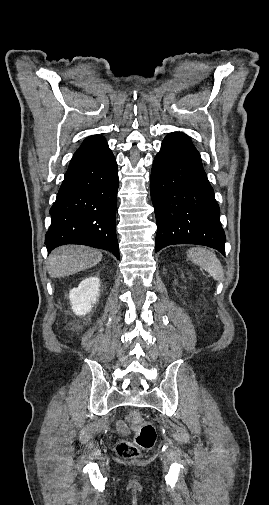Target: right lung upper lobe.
I'll return each instance as SVG.
<instances>
[{
    "label": "right lung upper lobe",
    "instance_id": "1",
    "mask_svg": "<svg viewBox=\"0 0 269 505\" xmlns=\"http://www.w3.org/2000/svg\"><path fill=\"white\" fill-rule=\"evenodd\" d=\"M104 143H106V140L104 137L99 136V135L90 136L84 140V142L79 147V149L76 151L74 156H79V155L85 154L87 152H90V151L98 148L99 146H101Z\"/></svg>",
    "mask_w": 269,
    "mask_h": 505
}]
</instances>
